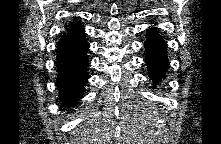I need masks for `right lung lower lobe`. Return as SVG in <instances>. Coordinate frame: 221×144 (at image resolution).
<instances>
[{"label":"right lung lower lobe","instance_id":"1","mask_svg":"<svg viewBox=\"0 0 221 144\" xmlns=\"http://www.w3.org/2000/svg\"><path fill=\"white\" fill-rule=\"evenodd\" d=\"M89 44L84 37L82 24L63 34L57 43L58 69L56 86L59 100L67 108L77 105L84 94V86L89 78L87 73Z\"/></svg>","mask_w":221,"mask_h":144}]
</instances>
